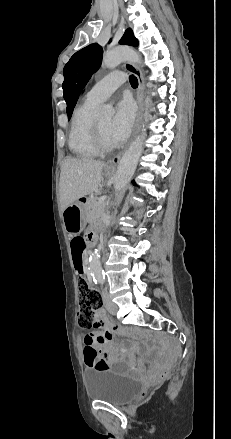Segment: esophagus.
I'll return each mask as SVG.
<instances>
[{
    "instance_id": "esophagus-1",
    "label": "esophagus",
    "mask_w": 231,
    "mask_h": 439,
    "mask_svg": "<svg viewBox=\"0 0 231 439\" xmlns=\"http://www.w3.org/2000/svg\"><path fill=\"white\" fill-rule=\"evenodd\" d=\"M124 67L126 68V70H128L129 72H131L132 74H134L138 80V88L136 91V102L138 105V114H137V120H136V125H135V129L133 132V136L132 139L135 137L138 128H139V124H140V118H141V110H142V101H143V91H144V84H143V76L141 71L131 62H126L124 64ZM123 152H121L117 158H120L122 156ZM107 166L109 168L115 169L116 167V163L114 162V160H110L107 163Z\"/></svg>"
}]
</instances>
